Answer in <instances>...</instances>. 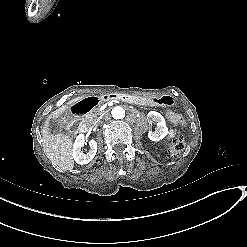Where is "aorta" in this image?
Segmentation results:
<instances>
[{
  "mask_svg": "<svg viewBox=\"0 0 247 247\" xmlns=\"http://www.w3.org/2000/svg\"><path fill=\"white\" fill-rule=\"evenodd\" d=\"M111 114L114 119H122L125 117V110L120 106H116L112 109Z\"/></svg>",
  "mask_w": 247,
  "mask_h": 247,
  "instance_id": "1",
  "label": "aorta"
}]
</instances>
